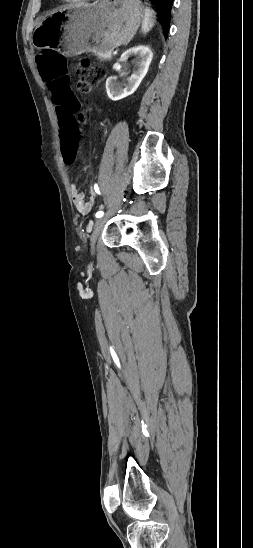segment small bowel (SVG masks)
<instances>
[{"mask_svg": "<svg viewBox=\"0 0 253 548\" xmlns=\"http://www.w3.org/2000/svg\"><path fill=\"white\" fill-rule=\"evenodd\" d=\"M77 148H78V139H76V151H77ZM70 190H71L73 202L76 209L81 214H84V215L88 214L95 203L94 197L86 198L85 195L82 192H80L76 184H71ZM94 190H95V186H94Z\"/></svg>", "mask_w": 253, "mask_h": 548, "instance_id": "small-bowel-1", "label": "small bowel"}]
</instances>
